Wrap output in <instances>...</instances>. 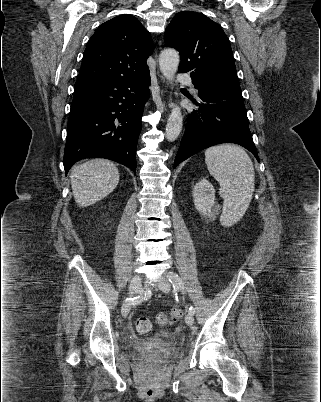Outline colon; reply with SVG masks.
Returning a JSON list of instances; mask_svg holds the SVG:
<instances>
[{
	"label": "colon",
	"instance_id": "colon-1",
	"mask_svg": "<svg viewBox=\"0 0 321 402\" xmlns=\"http://www.w3.org/2000/svg\"><path fill=\"white\" fill-rule=\"evenodd\" d=\"M183 311L180 308H174L169 314H160L158 319L163 325H169L182 317ZM136 329L141 334H147L152 330V323L147 317H139L136 320Z\"/></svg>",
	"mask_w": 321,
	"mask_h": 402
}]
</instances>
